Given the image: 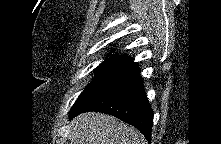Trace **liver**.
Instances as JSON below:
<instances>
[{
  "label": "liver",
  "instance_id": "6515ba94",
  "mask_svg": "<svg viewBox=\"0 0 221 144\" xmlns=\"http://www.w3.org/2000/svg\"><path fill=\"white\" fill-rule=\"evenodd\" d=\"M70 126L71 144H147L138 130L102 113L80 114Z\"/></svg>",
  "mask_w": 221,
  "mask_h": 144
}]
</instances>
